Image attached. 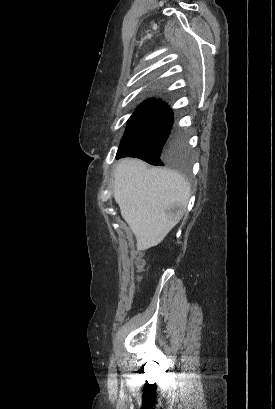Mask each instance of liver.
<instances>
[{"instance_id":"obj_1","label":"liver","mask_w":275,"mask_h":409,"mask_svg":"<svg viewBox=\"0 0 275 409\" xmlns=\"http://www.w3.org/2000/svg\"><path fill=\"white\" fill-rule=\"evenodd\" d=\"M114 198L121 215L136 237L137 249L146 251L159 245L178 221H170L165 211L172 202L185 207L190 184L170 168H147L139 158H122L114 172Z\"/></svg>"}]
</instances>
